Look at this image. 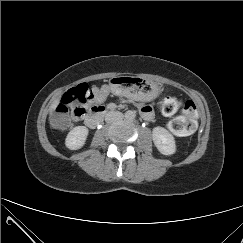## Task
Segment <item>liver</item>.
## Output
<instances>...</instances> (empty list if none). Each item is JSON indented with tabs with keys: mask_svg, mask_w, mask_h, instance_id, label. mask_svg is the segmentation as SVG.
I'll return each mask as SVG.
<instances>
[{
	"mask_svg": "<svg viewBox=\"0 0 243 243\" xmlns=\"http://www.w3.org/2000/svg\"><path fill=\"white\" fill-rule=\"evenodd\" d=\"M58 103H59V99H56L53 102V104L51 105V113L50 114H52V112L54 111V109L57 107Z\"/></svg>",
	"mask_w": 243,
	"mask_h": 243,
	"instance_id": "1",
	"label": "liver"
}]
</instances>
